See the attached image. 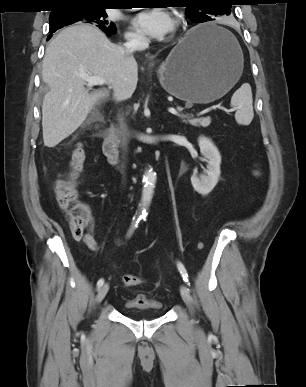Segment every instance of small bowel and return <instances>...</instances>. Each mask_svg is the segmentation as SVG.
<instances>
[{
  "label": "small bowel",
  "instance_id": "1",
  "mask_svg": "<svg viewBox=\"0 0 306 387\" xmlns=\"http://www.w3.org/2000/svg\"><path fill=\"white\" fill-rule=\"evenodd\" d=\"M83 242L85 243V245L92 251L96 250L97 249V243L94 239V236H93V233L91 231H88L84 238H83Z\"/></svg>",
  "mask_w": 306,
  "mask_h": 387
}]
</instances>
